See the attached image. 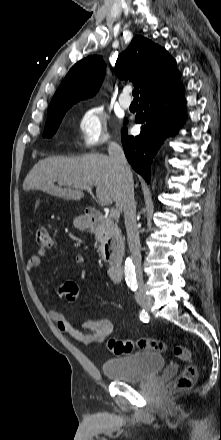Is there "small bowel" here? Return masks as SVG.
Masks as SVG:
<instances>
[{"instance_id":"obj_1","label":"small bowel","mask_w":221,"mask_h":440,"mask_svg":"<svg viewBox=\"0 0 221 440\" xmlns=\"http://www.w3.org/2000/svg\"><path fill=\"white\" fill-rule=\"evenodd\" d=\"M45 255L46 250L41 249L37 254L31 256L27 263V271L33 273L39 269ZM72 261L75 265H82L84 258L81 254H74ZM48 314L56 322L60 331L87 346L104 342L113 332V324L107 319H88L82 324L83 331L75 327L63 311L49 309Z\"/></svg>"}]
</instances>
